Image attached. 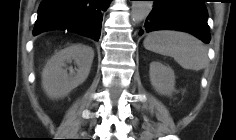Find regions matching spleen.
<instances>
[{
  "label": "spleen",
  "mask_w": 236,
  "mask_h": 140,
  "mask_svg": "<svg viewBox=\"0 0 236 140\" xmlns=\"http://www.w3.org/2000/svg\"><path fill=\"white\" fill-rule=\"evenodd\" d=\"M147 50L173 57L184 69L201 70L207 67L205 45L194 36L177 31H155L144 40Z\"/></svg>",
  "instance_id": "3e777b00"
}]
</instances>
